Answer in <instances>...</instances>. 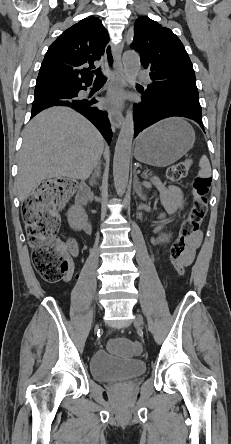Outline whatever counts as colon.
<instances>
[{
    "instance_id": "colon-1",
    "label": "colon",
    "mask_w": 231,
    "mask_h": 444,
    "mask_svg": "<svg viewBox=\"0 0 231 444\" xmlns=\"http://www.w3.org/2000/svg\"><path fill=\"white\" fill-rule=\"evenodd\" d=\"M191 159L170 166L167 178L178 182L185 178L191 168ZM210 183L205 178H196L192 190V206L187 219L182 223L178 236L169 250L172 268L178 275L185 274L186 265L182 257L189 241L198 232L207 212V193ZM75 182L65 178L48 179L29 196L24 209V222L28 242L32 248V262L37 273L47 282L61 280L72 266L65 246L56 238L60 226L59 209L73 192ZM138 346L123 338H114L109 343L113 353L122 350L136 351Z\"/></svg>"
}]
</instances>
